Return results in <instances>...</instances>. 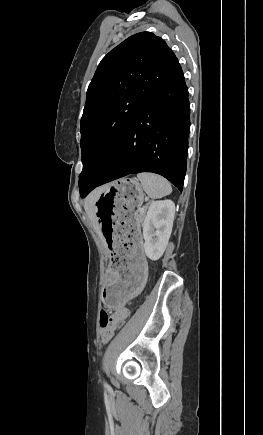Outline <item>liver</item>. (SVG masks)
<instances>
[{
    "label": "liver",
    "instance_id": "6515ba94",
    "mask_svg": "<svg viewBox=\"0 0 263 435\" xmlns=\"http://www.w3.org/2000/svg\"><path fill=\"white\" fill-rule=\"evenodd\" d=\"M101 190H102V188L97 189L94 192H92L88 196V198L85 200V204H84L85 211H86L88 217L90 218V220L92 221L96 232L100 236L102 235V233H101V229L98 225V219H97L96 214H95L94 203H95V200H96L98 194L101 192Z\"/></svg>",
    "mask_w": 263,
    "mask_h": 435
}]
</instances>
